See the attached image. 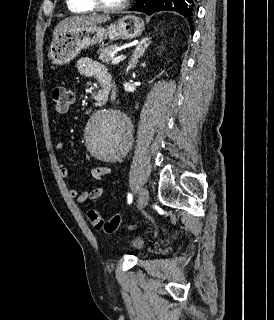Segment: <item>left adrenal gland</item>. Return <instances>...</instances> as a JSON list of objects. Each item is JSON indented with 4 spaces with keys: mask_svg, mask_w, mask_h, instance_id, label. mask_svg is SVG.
Segmentation results:
<instances>
[{
    "mask_svg": "<svg viewBox=\"0 0 274 320\" xmlns=\"http://www.w3.org/2000/svg\"><path fill=\"white\" fill-rule=\"evenodd\" d=\"M149 44H151L150 38H144V40H142V42H140V44H138L136 50H134V52L132 54V58L129 62L128 70H133V68H136V64H138L139 58H141V56H143V54H144L145 50H147Z\"/></svg>",
    "mask_w": 274,
    "mask_h": 320,
    "instance_id": "obj_1",
    "label": "left adrenal gland"
}]
</instances>
